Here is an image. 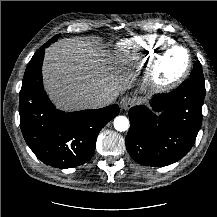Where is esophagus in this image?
Here are the masks:
<instances>
[{"mask_svg": "<svg viewBox=\"0 0 217 217\" xmlns=\"http://www.w3.org/2000/svg\"><path fill=\"white\" fill-rule=\"evenodd\" d=\"M135 104V100L131 97H125L121 100L120 105L123 110L132 108Z\"/></svg>", "mask_w": 217, "mask_h": 217, "instance_id": "obj_1", "label": "esophagus"}]
</instances>
